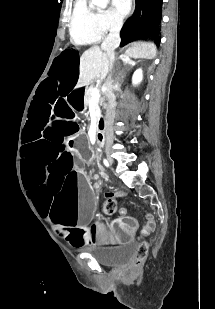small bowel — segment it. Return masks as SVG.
I'll list each match as a JSON object with an SVG mask.
<instances>
[{"mask_svg": "<svg viewBox=\"0 0 215 309\" xmlns=\"http://www.w3.org/2000/svg\"><path fill=\"white\" fill-rule=\"evenodd\" d=\"M126 213H127L126 211H121V215H122V216H126ZM149 220H150V221H149L148 225H147L146 228H145L146 231H150V230H151L149 226H150L151 223H153V222L151 221V218H149Z\"/></svg>", "mask_w": 215, "mask_h": 309, "instance_id": "1", "label": "small bowel"}]
</instances>
